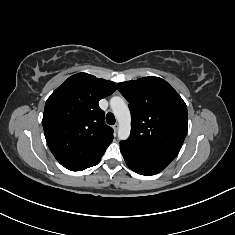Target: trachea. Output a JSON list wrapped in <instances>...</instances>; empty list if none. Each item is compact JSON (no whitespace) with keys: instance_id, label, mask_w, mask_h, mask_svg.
<instances>
[{"instance_id":"3493384b","label":"trachea","mask_w":235,"mask_h":235,"mask_svg":"<svg viewBox=\"0 0 235 235\" xmlns=\"http://www.w3.org/2000/svg\"><path fill=\"white\" fill-rule=\"evenodd\" d=\"M106 121H107V123H108L109 125H114L116 120H115L114 115L109 112V113H107V115H106Z\"/></svg>"}]
</instances>
